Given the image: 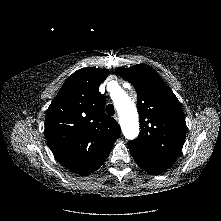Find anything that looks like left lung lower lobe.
Listing matches in <instances>:
<instances>
[{"label": "left lung lower lobe", "instance_id": "obj_1", "mask_svg": "<svg viewBox=\"0 0 221 221\" xmlns=\"http://www.w3.org/2000/svg\"><path fill=\"white\" fill-rule=\"evenodd\" d=\"M128 147L136 163L150 174H160L169 169L175 162V160L148 153L134 144L128 143Z\"/></svg>", "mask_w": 221, "mask_h": 221}]
</instances>
